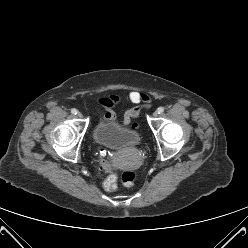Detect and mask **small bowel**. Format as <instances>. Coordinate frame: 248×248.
Segmentation results:
<instances>
[{
  "label": "small bowel",
  "mask_w": 248,
  "mask_h": 248,
  "mask_svg": "<svg viewBox=\"0 0 248 248\" xmlns=\"http://www.w3.org/2000/svg\"><path fill=\"white\" fill-rule=\"evenodd\" d=\"M131 102L135 105V109L128 111L124 114L122 118L123 125H128L132 118L136 117L138 114V108L144 103V107L147 110H152L155 107V102L149 99L146 93L132 91L129 94ZM99 104L104 107L105 111L103 113V119L105 121H113L116 118V113L113 109L114 98H102L99 100Z\"/></svg>",
  "instance_id": "c3829d8e"
}]
</instances>
